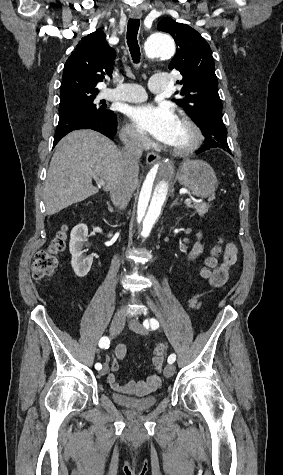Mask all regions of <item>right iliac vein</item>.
Here are the masks:
<instances>
[{
    "instance_id": "1",
    "label": "right iliac vein",
    "mask_w": 283,
    "mask_h": 475,
    "mask_svg": "<svg viewBox=\"0 0 283 475\" xmlns=\"http://www.w3.org/2000/svg\"><path fill=\"white\" fill-rule=\"evenodd\" d=\"M125 314L124 313H117L111 322L110 325V334L111 336H116L124 327L125 323ZM108 371V366L106 364L103 365L102 370H100V375H105Z\"/></svg>"
}]
</instances>
